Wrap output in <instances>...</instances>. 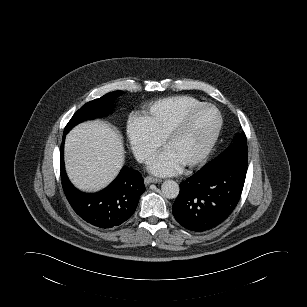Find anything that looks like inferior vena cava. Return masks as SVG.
I'll use <instances>...</instances> for the list:
<instances>
[{
  "mask_svg": "<svg viewBox=\"0 0 307 307\" xmlns=\"http://www.w3.org/2000/svg\"><path fill=\"white\" fill-rule=\"evenodd\" d=\"M148 159V156H146V155H138V160L139 161H145V160H147Z\"/></svg>",
  "mask_w": 307,
  "mask_h": 307,
  "instance_id": "inferior-vena-cava-1",
  "label": "inferior vena cava"
}]
</instances>
